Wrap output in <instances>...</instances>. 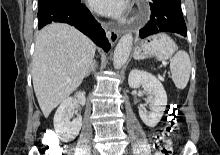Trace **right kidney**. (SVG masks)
Returning a JSON list of instances; mask_svg holds the SVG:
<instances>
[{
  "label": "right kidney",
  "mask_w": 220,
  "mask_h": 155,
  "mask_svg": "<svg viewBox=\"0 0 220 155\" xmlns=\"http://www.w3.org/2000/svg\"><path fill=\"white\" fill-rule=\"evenodd\" d=\"M77 101L82 106L85 105L86 98L83 92L76 93ZM74 108V99L72 97L65 99L54 115V128L56 134L63 141H71L79 134L82 126V117L78 116L72 122V110Z\"/></svg>",
  "instance_id": "ca27d5eb"
}]
</instances>
